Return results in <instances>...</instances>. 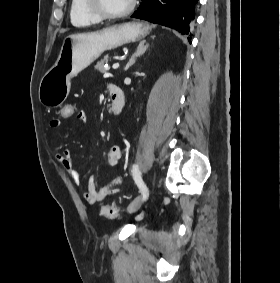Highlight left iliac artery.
<instances>
[{
	"mask_svg": "<svg viewBox=\"0 0 280 283\" xmlns=\"http://www.w3.org/2000/svg\"><path fill=\"white\" fill-rule=\"evenodd\" d=\"M132 175H133L135 183L137 184L138 188L140 189V191L143 194V199L144 200L147 199L149 192H148V189H147L145 183L142 180L141 172H140L139 166L137 164H134L133 167H132Z\"/></svg>",
	"mask_w": 280,
	"mask_h": 283,
	"instance_id": "obj_1",
	"label": "left iliac artery"
}]
</instances>
